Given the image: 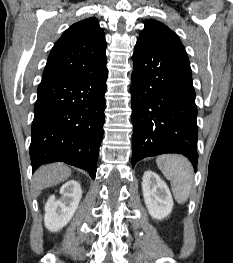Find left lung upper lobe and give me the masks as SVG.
Wrapping results in <instances>:
<instances>
[{
  "label": "left lung upper lobe",
  "instance_id": "1",
  "mask_svg": "<svg viewBox=\"0 0 233 263\" xmlns=\"http://www.w3.org/2000/svg\"><path fill=\"white\" fill-rule=\"evenodd\" d=\"M137 43L155 48L186 52L178 36L166 25L155 20H149L145 24Z\"/></svg>",
  "mask_w": 233,
  "mask_h": 263
}]
</instances>
